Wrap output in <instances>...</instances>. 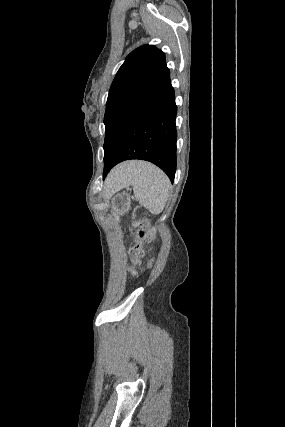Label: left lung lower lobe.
Instances as JSON below:
<instances>
[{
    "instance_id": "0a47b994",
    "label": "left lung lower lobe",
    "mask_w": 285,
    "mask_h": 427,
    "mask_svg": "<svg viewBox=\"0 0 285 427\" xmlns=\"http://www.w3.org/2000/svg\"><path fill=\"white\" fill-rule=\"evenodd\" d=\"M176 114L175 93L169 77L126 127L108 172L122 161L140 159L160 167L173 182L176 172Z\"/></svg>"
}]
</instances>
